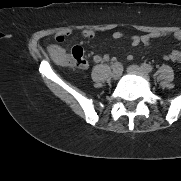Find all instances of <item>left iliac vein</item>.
Listing matches in <instances>:
<instances>
[{
    "mask_svg": "<svg viewBox=\"0 0 181 181\" xmlns=\"http://www.w3.org/2000/svg\"><path fill=\"white\" fill-rule=\"evenodd\" d=\"M129 70H131V71H138V72H140V73H143V74L147 75V71H146L145 69H143V68H141V67H138V66H136V65L130 66V67H129Z\"/></svg>",
    "mask_w": 181,
    "mask_h": 181,
    "instance_id": "4c4485c4",
    "label": "left iliac vein"
}]
</instances>
